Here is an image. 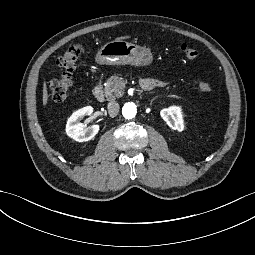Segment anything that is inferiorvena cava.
Returning a JSON list of instances; mask_svg holds the SVG:
<instances>
[{"instance_id":"1","label":"inferior vena cava","mask_w":255,"mask_h":255,"mask_svg":"<svg viewBox=\"0 0 255 255\" xmlns=\"http://www.w3.org/2000/svg\"><path fill=\"white\" fill-rule=\"evenodd\" d=\"M109 115L115 117L119 112V104L117 101H110L107 105Z\"/></svg>"}]
</instances>
